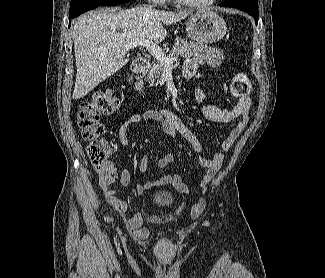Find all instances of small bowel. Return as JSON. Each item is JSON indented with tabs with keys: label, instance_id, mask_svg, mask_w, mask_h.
Wrapping results in <instances>:
<instances>
[{
	"label": "small bowel",
	"instance_id": "obj_1",
	"mask_svg": "<svg viewBox=\"0 0 325 278\" xmlns=\"http://www.w3.org/2000/svg\"><path fill=\"white\" fill-rule=\"evenodd\" d=\"M185 77L193 78L197 72V61L194 58H188L183 67ZM196 101L201 106V110L205 118L214 123H227L234 119H239L229 136L223 141L221 148L227 151L231 148L240 133L246 127L249 120V110L251 106V98L249 95L240 96L236 106L232 110H226L213 105L204 103L205 93L200 83L194 82ZM143 123L159 124L163 131L170 136H181L184 138L195 151L202 150L201 143L196 134L187 127L181 118L174 112L166 109L146 110L137 112L128 117V119L120 126L118 137L123 146L130 144V139L127 135L128 128L131 125H140ZM224 160L222 152L215 153L212 157H201L199 159L200 166L205 170L202 179L196 185L184 183L177 173H168L163 175L156 184L171 185L179 191H187L192 188H205L211 183L216 173L220 169ZM174 161L172 153H166L157 161L159 169L168 168ZM148 168V158L144 156L140 163L142 172H146ZM99 184L104 190L106 198L118 206L121 210H125L126 203L120 199L118 192L112 188L115 183L122 186H128L131 182V174L128 169L123 168L118 171L115 164L107 159L102 169L97 171ZM152 183L138 184L136 186L137 193H142L144 190L153 186Z\"/></svg>",
	"mask_w": 325,
	"mask_h": 278
}]
</instances>
